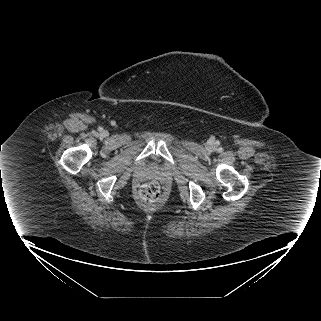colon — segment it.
<instances>
[{"label":"colon","mask_w":321,"mask_h":321,"mask_svg":"<svg viewBox=\"0 0 321 321\" xmlns=\"http://www.w3.org/2000/svg\"><path fill=\"white\" fill-rule=\"evenodd\" d=\"M141 200L147 204H153L160 198V186L155 181L146 182L139 189Z\"/></svg>","instance_id":"obj_1"}]
</instances>
